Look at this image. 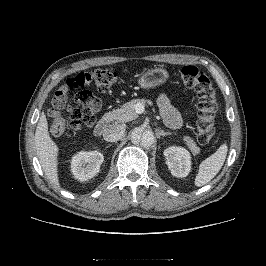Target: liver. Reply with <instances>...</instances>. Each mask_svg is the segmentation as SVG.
<instances>
[{
  "label": "liver",
  "instance_id": "6515ba94",
  "mask_svg": "<svg viewBox=\"0 0 266 266\" xmlns=\"http://www.w3.org/2000/svg\"><path fill=\"white\" fill-rule=\"evenodd\" d=\"M35 147L37 157L48 180L60 188L57 168L59 147L50 137L48 121L44 112L41 113L35 131Z\"/></svg>",
  "mask_w": 266,
  "mask_h": 266
}]
</instances>
